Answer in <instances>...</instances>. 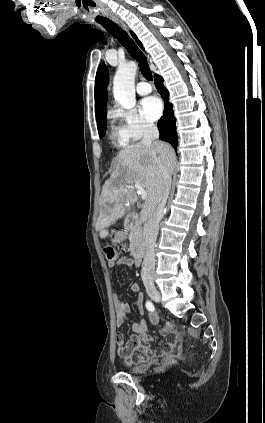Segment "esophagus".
<instances>
[{"label":"esophagus","mask_w":265,"mask_h":423,"mask_svg":"<svg viewBox=\"0 0 265 423\" xmlns=\"http://www.w3.org/2000/svg\"><path fill=\"white\" fill-rule=\"evenodd\" d=\"M112 20L117 23L120 27H122L125 31H128V27L126 26V24L121 21L120 19L113 17Z\"/></svg>","instance_id":"1"}]
</instances>
